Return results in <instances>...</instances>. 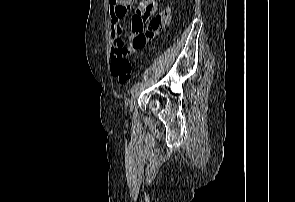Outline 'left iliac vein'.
I'll use <instances>...</instances> for the list:
<instances>
[{
	"mask_svg": "<svg viewBox=\"0 0 295 202\" xmlns=\"http://www.w3.org/2000/svg\"><path fill=\"white\" fill-rule=\"evenodd\" d=\"M140 92H141V88L139 87L137 90H135L132 93V95L130 97V100H129V108H130V111H132L133 105L136 102V100L138 99V96H139Z\"/></svg>",
	"mask_w": 295,
	"mask_h": 202,
	"instance_id": "4c4485c4",
	"label": "left iliac vein"
}]
</instances>
